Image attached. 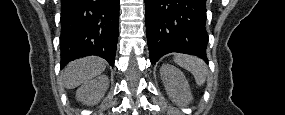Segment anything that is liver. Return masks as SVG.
Returning a JSON list of instances; mask_svg holds the SVG:
<instances>
[{"label":"liver","instance_id":"6515ba94","mask_svg":"<svg viewBox=\"0 0 285 115\" xmlns=\"http://www.w3.org/2000/svg\"><path fill=\"white\" fill-rule=\"evenodd\" d=\"M106 69V61L100 57H87L69 63L63 71L64 86L73 89L92 80Z\"/></svg>","mask_w":285,"mask_h":115}]
</instances>
